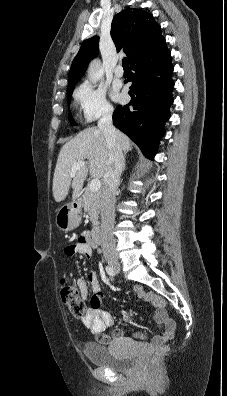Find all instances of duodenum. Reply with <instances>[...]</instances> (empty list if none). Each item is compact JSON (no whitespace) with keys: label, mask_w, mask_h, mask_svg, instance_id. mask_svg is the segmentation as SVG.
I'll use <instances>...</instances> for the list:
<instances>
[{"label":"duodenum","mask_w":227,"mask_h":396,"mask_svg":"<svg viewBox=\"0 0 227 396\" xmlns=\"http://www.w3.org/2000/svg\"><path fill=\"white\" fill-rule=\"evenodd\" d=\"M82 202L80 199L76 200L74 202V208H80ZM92 239L96 244H101L102 243V233L100 227L96 226L92 229Z\"/></svg>","instance_id":"duodenum-1"}]
</instances>
